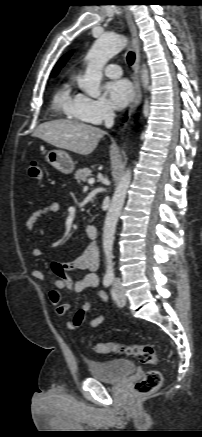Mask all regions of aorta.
<instances>
[{"instance_id": "1", "label": "aorta", "mask_w": 202, "mask_h": 437, "mask_svg": "<svg viewBox=\"0 0 202 437\" xmlns=\"http://www.w3.org/2000/svg\"><path fill=\"white\" fill-rule=\"evenodd\" d=\"M127 44V38L122 35L104 34L100 36L91 49L86 59L87 67L83 78L79 81V87L93 98L100 96V83L102 70L106 63L119 53ZM141 82L143 87L149 85L148 69L145 65L141 70ZM131 181V170L127 169L112 197L103 228V251L106 261V275H113V243L115 239L116 225L123 208L126 194Z\"/></svg>"}]
</instances>
